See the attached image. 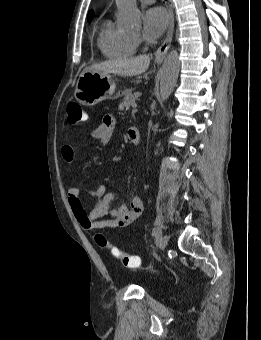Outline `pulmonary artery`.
<instances>
[{
	"instance_id": "obj_1",
	"label": "pulmonary artery",
	"mask_w": 261,
	"mask_h": 340,
	"mask_svg": "<svg viewBox=\"0 0 261 340\" xmlns=\"http://www.w3.org/2000/svg\"><path fill=\"white\" fill-rule=\"evenodd\" d=\"M143 3H152L154 0H140Z\"/></svg>"
}]
</instances>
